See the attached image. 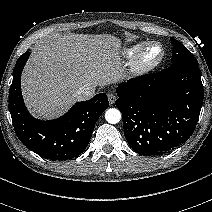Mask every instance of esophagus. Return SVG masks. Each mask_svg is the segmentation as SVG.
I'll list each match as a JSON object with an SVG mask.
<instances>
[{
  "label": "esophagus",
  "instance_id": "esophagus-1",
  "mask_svg": "<svg viewBox=\"0 0 212 212\" xmlns=\"http://www.w3.org/2000/svg\"><path fill=\"white\" fill-rule=\"evenodd\" d=\"M115 100H116V97L113 93H109L108 94V101L110 104H114L115 103Z\"/></svg>",
  "mask_w": 212,
  "mask_h": 212
}]
</instances>
